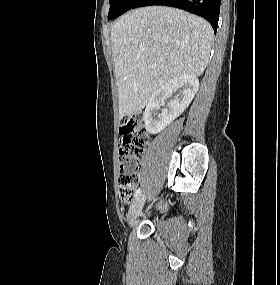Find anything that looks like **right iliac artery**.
I'll return each instance as SVG.
<instances>
[{"label":"right iliac artery","instance_id":"82829eb1","mask_svg":"<svg viewBox=\"0 0 280 285\" xmlns=\"http://www.w3.org/2000/svg\"><path fill=\"white\" fill-rule=\"evenodd\" d=\"M141 195V189L139 188L136 192H135V199H138L139 196Z\"/></svg>","mask_w":280,"mask_h":285}]
</instances>
